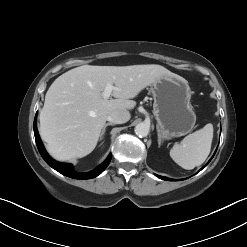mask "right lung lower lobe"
Wrapping results in <instances>:
<instances>
[{"label":"right lung lower lobe","instance_id":"1","mask_svg":"<svg viewBox=\"0 0 247 247\" xmlns=\"http://www.w3.org/2000/svg\"><path fill=\"white\" fill-rule=\"evenodd\" d=\"M37 115V114H36ZM34 135H35V140L37 144V148L43 157V159L47 162L48 165H50L53 169L58 171L59 173L68 176L70 178L74 179H80V180H85V179H91L97 177L99 174H101L105 168L108 166V164L111 161L112 155L110 154L107 159L104 161V163L98 167L96 170L89 172V173H77L74 171L73 166L68 163H59L52 159L48 153L46 152L42 141L39 137L38 131H37V126H36V116L34 119Z\"/></svg>","mask_w":247,"mask_h":247}]
</instances>
